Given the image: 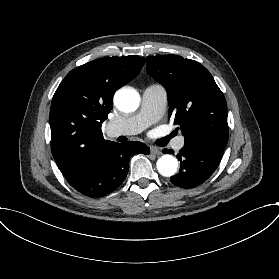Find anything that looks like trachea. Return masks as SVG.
<instances>
[{"mask_svg":"<svg viewBox=\"0 0 279 279\" xmlns=\"http://www.w3.org/2000/svg\"><path fill=\"white\" fill-rule=\"evenodd\" d=\"M169 138H170V137L167 138L166 143L168 142Z\"/></svg>","mask_w":279,"mask_h":279,"instance_id":"trachea-1","label":"trachea"}]
</instances>
